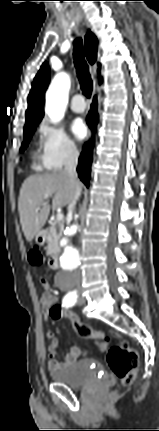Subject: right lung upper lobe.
Segmentation results:
<instances>
[{"label":"right lung upper lobe","mask_w":159,"mask_h":431,"mask_svg":"<svg viewBox=\"0 0 159 431\" xmlns=\"http://www.w3.org/2000/svg\"><path fill=\"white\" fill-rule=\"evenodd\" d=\"M85 54L90 64L97 58V39L91 32L85 36ZM100 67V64H99ZM49 84V66L42 64L32 83V89L28 96V109L26 111L25 129L38 125L44 115V93Z\"/></svg>","instance_id":"cb5924a9"}]
</instances>
